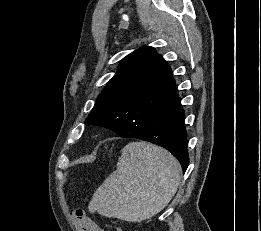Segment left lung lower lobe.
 I'll return each instance as SVG.
<instances>
[{"mask_svg":"<svg viewBox=\"0 0 261 231\" xmlns=\"http://www.w3.org/2000/svg\"><path fill=\"white\" fill-rule=\"evenodd\" d=\"M121 137L137 138L162 146L179 160L183 172L188 167L187 133L179 97L158 113L144 132Z\"/></svg>","mask_w":261,"mask_h":231,"instance_id":"0a47b994","label":"left lung lower lobe"}]
</instances>
